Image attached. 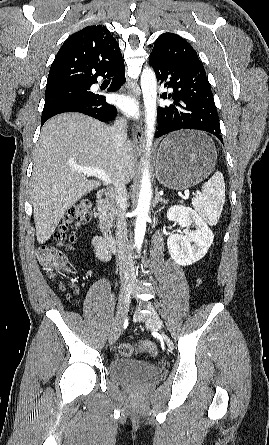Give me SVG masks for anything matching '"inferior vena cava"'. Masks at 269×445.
<instances>
[{
  "instance_id": "inferior-vena-cava-1",
  "label": "inferior vena cava",
  "mask_w": 269,
  "mask_h": 445,
  "mask_svg": "<svg viewBox=\"0 0 269 445\" xmlns=\"http://www.w3.org/2000/svg\"><path fill=\"white\" fill-rule=\"evenodd\" d=\"M110 133L114 140V148L117 153H120L123 144L127 140V121L125 119L116 120L114 125L110 128ZM115 187V199L119 205L116 239L120 261V275L122 280H135L136 272L131 253V246L127 236L126 220L122 209V205L126 199L125 183L117 181Z\"/></svg>"
}]
</instances>
